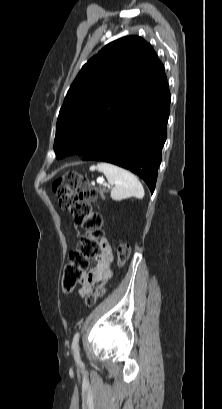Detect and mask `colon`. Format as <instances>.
Instances as JSON below:
<instances>
[{
	"mask_svg": "<svg viewBox=\"0 0 222 409\" xmlns=\"http://www.w3.org/2000/svg\"><path fill=\"white\" fill-rule=\"evenodd\" d=\"M52 191L59 206L70 212L81 222L85 234L81 237L76 249L69 256V262L64 268L62 288L66 292L72 291L82 280V273L88 268L91 258L96 257L99 250V240L102 236L101 216L92 210V203L97 199V190L91 182L81 174L68 171L55 179ZM130 256V247L121 241L117 248V264L123 266ZM99 289L86 297L87 306H93L97 298L105 293Z\"/></svg>",
	"mask_w": 222,
	"mask_h": 409,
	"instance_id": "1",
	"label": "colon"
}]
</instances>
